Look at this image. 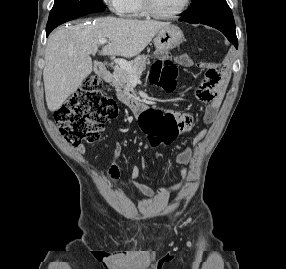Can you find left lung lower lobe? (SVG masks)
<instances>
[{
	"mask_svg": "<svg viewBox=\"0 0 286 269\" xmlns=\"http://www.w3.org/2000/svg\"><path fill=\"white\" fill-rule=\"evenodd\" d=\"M180 21H183L180 19ZM211 27H214L218 30H220L226 37L227 39L233 43V45L238 48V40L236 37V31H235V27H231L228 25H224V24H218V23H202Z\"/></svg>",
	"mask_w": 286,
	"mask_h": 269,
	"instance_id": "0a47b994",
	"label": "left lung lower lobe"
}]
</instances>
